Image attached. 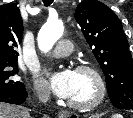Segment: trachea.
I'll return each mask as SVG.
<instances>
[{
	"mask_svg": "<svg viewBox=\"0 0 133 118\" xmlns=\"http://www.w3.org/2000/svg\"><path fill=\"white\" fill-rule=\"evenodd\" d=\"M45 6H49L53 0H43Z\"/></svg>",
	"mask_w": 133,
	"mask_h": 118,
	"instance_id": "obj_1",
	"label": "trachea"
}]
</instances>
